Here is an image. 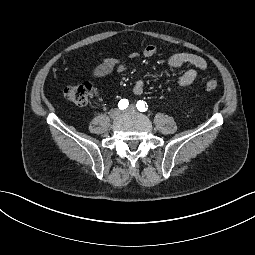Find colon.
Listing matches in <instances>:
<instances>
[{"label":"colon","mask_w":255,"mask_h":255,"mask_svg":"<svg viewBox=\"0 0 255 255\" xmlns=\"http://www.w3.org/2000/svg\"><path fill=\"white\" fill-rule=\"evenodd\" d=\"M218 82L215 79H209L205 83V88L208 91L217 89ZM92 94V86L89 83H81L77 85H71L64 89V97L76 106H85Z\"/></svg>","instance_id":"obj_1"}]
</instances>
